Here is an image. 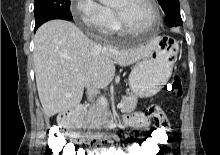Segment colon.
Masks as SVG:
<instances>
[{
	"instance_id": "1",
	"label": "colon",
	"mask_w": 220,
	"mask_h": 155,
	"mask_svg": "<svg viewBox=\"0 0 220 155\" xmlns=\"http://www.w3.org/2000/svg\"><path fill=\"white\" fill-rule=\"evenodd\" d=\"M167 90L174 96L179 97L183 93V86L180 76L174 73L167 85ZM157 123H151L147 126L149 135L145 139H136L130 142V147H134L136 155H158L162 144H169L168 129L166 123H160L159 119H155ZM94 142V141H92ZM52 146H48L49 155H87V152H81L80 143H66L58 132L51 135ZM91 145H95L92 143ZM102 146V145H96ZM161 155H172L171 152L162 150Z\"/></svg>"
}]
</instances>
